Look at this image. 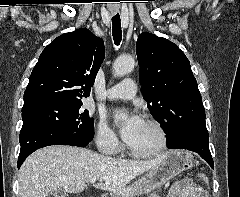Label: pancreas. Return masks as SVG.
Wrapping results in <instances>:
<instances>
[{
  "mask_svg": "<svg viewBox=\"0 0 240 197\" xmlns=\"http://www.w3.org/2000/svg\"><path fill=\"white\" fill-rule=\"evenodd\" d=\"M148 197H160L156 192H152Z\"/></svg>",
  "mask_w": 240,
  "mask_h": 197,
  "instance_id": "obj_1",
  "label": "pancreas"
}]
</instances>
